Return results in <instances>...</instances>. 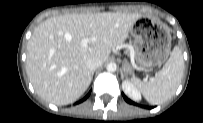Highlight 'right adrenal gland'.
<instances>
[{
    "label": "right adrenal gland",
    "instance_id": "right-adrenal-gland-1",
    "mask_svg": "<svg viewBox=\"0 0 203 123\" xmlns=\"http://www.w3.org/2000/svg\"><path fill=\"white\" fill-rule=\"evenodd\" d=\"M93 75H94V72H92V74H91V80L93 79Z\"/></svg>",
    "mask_w": 203,
    "mask_h": 123
}]
</instances>
